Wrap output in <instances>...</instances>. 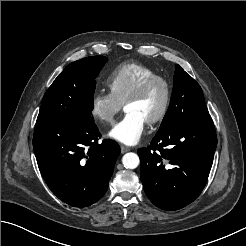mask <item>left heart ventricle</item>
I'll return each mask as SVG.
<instances>
[{"instance_id":"b2bd125f","label":"left heart ventricle","mask_w":246,"mask_h":246,"mask_svg":"<svg viewBox=\"0 0 246 246\" xmlns=\"http://www.w3.org/2000/svg\"><path fill=\"white\" fill-rule=\"evenodd\" d=\"M164 97V87L161 83L157 82L140 99L128 103L125 106V111L135 112L147 121L160 111Z\"/></svg>"}]
</instances>
